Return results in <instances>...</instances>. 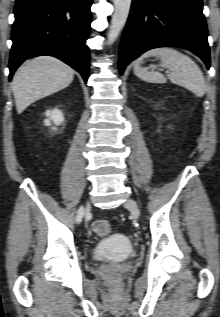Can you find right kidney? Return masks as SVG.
<instances>
[{
  "instance_id": "ca27d5eb",
  "label": "right kidney",
  "mask_w": 220,
  "mask_h": 317,
  "mask_svg": "<svg viewBox=\"0 0 220 317\" xmlns=\"http://www.w3.org/2000/svg\"><path fill=\"white\" fill-rule=\"evenodd\" d=\"M45 115L48 117V119L44 121V124L46 126H50L51 122L58 126L64 121V116L62 112L57 108L53 110H47ZM53 130H56V128H53Z\"/></svg>"
}]
</instances>
